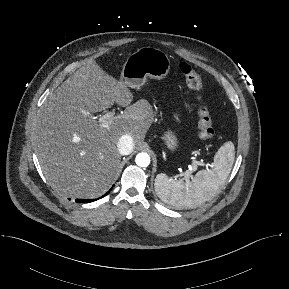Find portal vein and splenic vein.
<instances>
[{"instance_id": "obj_1", "label": "portal vein and splenic vein", "mask_w": 289, "mask_h": 289, "mask_svg": "<svg viewBox=\"0 0 289 289\" xmlns=\"http://www.w3.org/2000/svg\"><path fill=\"white\" fill-rule=\"evenodd\" d=\"M115 115V110H112L110 112H107L106 114L104 115H101L99 118H98V122L100 124H102L103 126H108V124L110 123L111 119L114 117ZM197 165H200V166H206L208 167L207 164H205L204 162H201V161H196L193 165V168L196 169ZM190 173L191 171H187L185 173V178L188 179L190 177Z\"/></svg>"}]
</instances>
